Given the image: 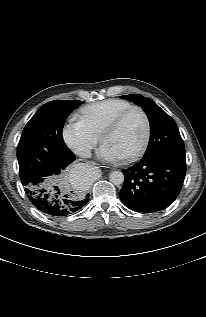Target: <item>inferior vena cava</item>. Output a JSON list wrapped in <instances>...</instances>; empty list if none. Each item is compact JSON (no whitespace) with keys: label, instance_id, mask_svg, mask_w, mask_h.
I'll list each match as a JSON object with an SVG mask.
<instances>
[{"label":"inferior vena cava","instance_id":"1","mask_svg":"<svg viewBox=\"0 0 206 317\" xmlns=\"http://www.w3.org/2000/svg\"><path fill=\"white\" fill-rule=\"evenodd\" d=\"M75 154H77L78 156L83 157V158L91 157L90 149L85 148V147H78L77 149H75Z\"/></svg>","mask_w":206,"mask_h":317}]
</instances>
